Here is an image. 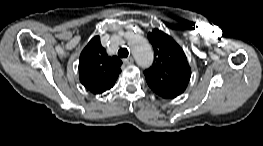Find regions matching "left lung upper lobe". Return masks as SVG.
<instances>
[{
  "mask_svg": "<svg viewBox=\"0 0 263 146\" xmlns=\"http://www.w3.org/2000/svg\"><path fill=\"white\" fill-rule=\"evenodd\" d=\"M154 48V62L145 70L148 86L160 97L172 99L182 94L191 77V69L182 48L159 29L148 34Z\"/></svg>",
  "mask_w": 263,
  "mask_h": 146,
  "instance_id": "left-lung-upper-lobe-1",
  "label": "left lung upper lobe"
}]
</instances>
